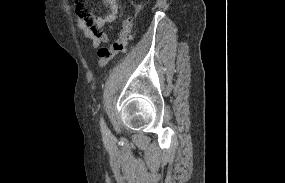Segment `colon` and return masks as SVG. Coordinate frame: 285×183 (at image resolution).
<instances>
[{
	"instance_id": "5ec220e1",
	"label": "colon",
	"mask_w": 285,
	"mask_h": 183,
	"mask_svg": "<svg viewBox=\"0 0 285 183\" xmlns=\"http://www.w3.org/2000/svg\"><path fill=\"white\" fill-rule=\"evenodd\" d=\"M133 22L134 15L130 11L123 18L122 27L118 39L111 43L109 46L101 47L98 50V65L100 67L106 66L113 60L115 56L124 53L127 50L132 39L131 32Z\"/></svg>"
}]
</instances>
